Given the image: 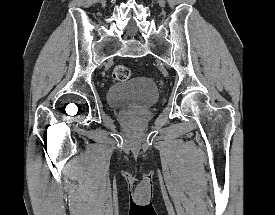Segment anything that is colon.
Returning <instances> with one entry per match:
<instances>
[{"mask_svg": "<svg viewBox=\"0 0 275 215\" xmlns=\"http://www.w3.org/2000/svg\"><path fill=\"white\" fill-rule=\"evenodd\" d=\"M131 72L128 67L117 65L112 70V78L116 81H126L130 78Z\"/></svg>", "mask_w": 275, "mask_h": 215, "instance_id": "colon-1", "label": "colon"}]
</instances>
